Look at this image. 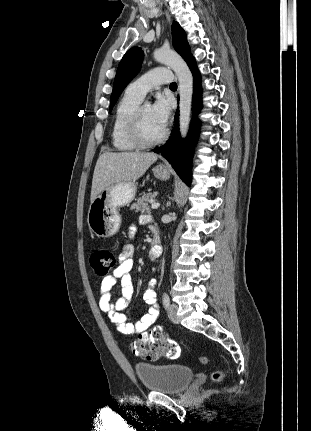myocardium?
Masks as SVG:
<instances>
[{
	"label": "myocardium",
	"mask_w": 311,
	"mask_h": 431,
	"mask_svg": "<svg viewBox=\"0 0 311 431\" xmlns=\"http://www.w3.org/2000/svg\"><path fill=\"white\" fill-rule=\"evenodd\" d=\"M144 106L140 104L133 112L129 123V135L131 140L139 147H152L162 143L167 137V130L164 129L162 135L155 139L149 140L145 136L143 127Z\"/></svg>",
	"instance_id": "f54148a6"
}]
</instances>
